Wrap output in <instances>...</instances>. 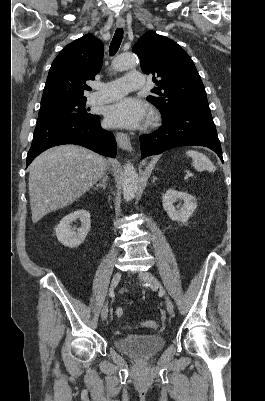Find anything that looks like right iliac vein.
I'll return each instance as SVG.
<instances>
[{
	"mask_svg": "<svg viewBox=\"0 0 265 401\" xmlns=\"http://www.w3.org/2000/svg\"><path fill=\"white\" fill-rule=\"evenodd\" d=\"M120 280H121V273L120 272L115 273L113 278H112V281H111V291L118 285ZM107 316H108V304L106 303L103 306V309H102V312H101L102 321H105Z\"/></svg>",
	"mask_w": 265,
	"mask_h": 401,
	"instance_id": "1",
	"label": "right iliac vein"
}]
</instances>
